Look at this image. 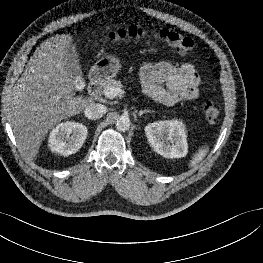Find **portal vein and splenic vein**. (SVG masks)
<instances>
[{"instance_id": "obj_1", "label": "portal vein and splenic vein", "mask_w": 263, "mask_h": 263, "mask_svg": "<svg viewBox=\"0 0 263 263\" xmlns=\"http://www.w3.org/2000/svg\"><path fill=\"white\" fill-rule=\"evenodd\" d=\"M124 94V91L119 87H112L105 91V96L109 99H113L116 96Z\"/></svg>"}]
</instances>
